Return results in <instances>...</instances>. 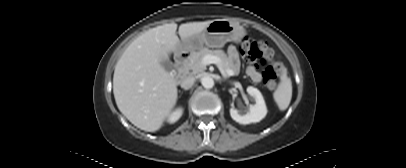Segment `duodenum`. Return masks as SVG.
<instances>
[{
	"label": "duodenum",
	"mask_w": 406,
	"mask_h": 168,
	"mask_svg": "<svg viewBox=\"0 0 406 168\" xmlns=\"http://www.w3.org/2000/svg\"><path fill=\"white\" fill-rule=\"evenodd\" d=\"M190 54L188 52H182L175 57V69L177 72V78H182L187 74L186 64L188 62Z\"/></svg>",
	"instance_id": "410a0bca"
}]
</instances>
